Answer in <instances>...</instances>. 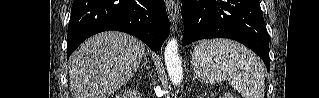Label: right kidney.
<instances>
[{
  "instance_id": "right-kidney-1",
  "label": "right kidney",
  "mask_w": 319,
  "mask_h": 98,
  "mask_svg": "<svg viewBox=\"0 0 319 98\" xmlns=\"http://www.w3.org/2000/svg\"><path fill=\"white\" fill-rule=\"evenodd\" d=\"M122 97H124V96H118L117 98H122Z\"/></svg>"
}]
</instances>
